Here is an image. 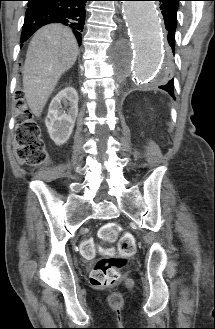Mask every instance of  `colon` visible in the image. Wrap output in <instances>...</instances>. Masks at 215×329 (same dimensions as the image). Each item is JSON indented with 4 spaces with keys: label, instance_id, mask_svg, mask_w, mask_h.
<instances>
[{
    "label": "colon",
    "instance_id": "obj_1",
    "mask_svg": "<svg viewBox=\"0 0 215 329\" xmlns=\"http://www.w3.org/2000/svg\"><path fill=\"white\" fill-rule=\"evenodd\" d=\"M16 73H23V66L15 67ZM18 117L16 129V156L32 166H42L49 162V155L40 137V127L33 119L31 112L22 102L18 103ZM119 228L115 223H108L99 230V237L106 243H113L118 237ZM136 241L130 234L123 235L118 242V255L112 254L111 249L105 250L106 256L100 258L94 265L90 280L95 287H109L117 283L120 270L127 259L135 253ZM81 253L91 256L94 245L85 241L81 246Z\"/></svg>",
    "mask_w": 215,
    "mask_h": 329
}]
</instances>
